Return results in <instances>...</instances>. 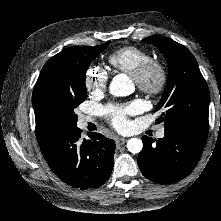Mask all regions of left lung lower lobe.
I'll return each instance as SVG.
<instances>
[{"instance_id": "0a47b994", "label": "left lung lower lobe", "mask_w": 221, "mask_h": 221, "mask_svg": "<svg viewBox=\"0 0 221 221\" xmlns=\"http://www.w3.org/2000/svg\"><path fill=\"white\" fill-rule=\"evenodd\" d=\"M143 150L137 162L142 174L151 181L170 184L185 178L196 166L207 136L184 129L165 130L163 138L142 137Z\"/></svg>"}]
</instances>
